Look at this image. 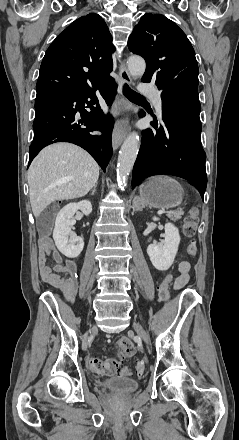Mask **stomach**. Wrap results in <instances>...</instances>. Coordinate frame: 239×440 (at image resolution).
<instances>
[{"instance_id": "1", "label": "stomach", "mask_w": 239, "mask_h": 440, "mask_svg": "<svg viewBox=\"0 0 239 440\" xmlns=\"http://www.w3.org/2000/svg\"><path fill=\"white\" fill-rule=\"evenodd\" d=\"M140 202L152 208H176L183 200L184 190L168 176H153L139 188Z\"/></svg>"}]
</instances>
